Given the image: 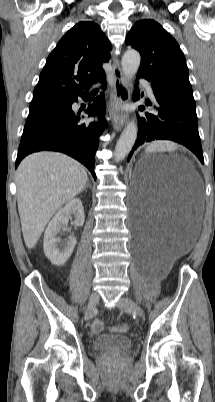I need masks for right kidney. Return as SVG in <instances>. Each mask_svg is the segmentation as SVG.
<instances>
[{"label":"right kidney","instance_id":"1","mask_svg":"<svg viewBox=\"0 0 215 402\" xmlns=\"http://www.w3.org/2000/svg\"><path fill=\"white\" fill-rule=\"evenodd\" d=\"M74 215L75 225L82 226L85 221L84 209L79 198L71 199L63 208H61L48 224L44 233V253L52 264L62 266L70 258L75 245L76 238L70 236L66 245L60 249L57 247L60 238L57 237L60 229L68 224L69 217Z\"/></svg>","mask_w":215,"mask_h":402}]
</instances>
